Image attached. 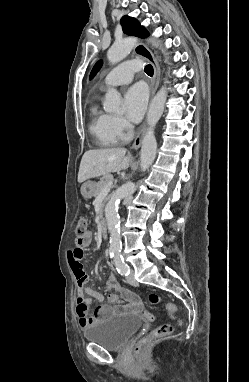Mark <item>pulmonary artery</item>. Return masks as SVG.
I'll list each match as a JSON object with an SVG mask.
<instances>
[{
    "instance_id": "pulmonary-artery-1",
    "label": "pulmonary artery",
    "mask_w": 249,
    "mask_h": 382,
    "mask_svg": "<svg viewBox=\"0 0 249 382\" xmlns=\"http://www.w3.org/2000/svg\"><path fill=\"white\" fill-rule=\"evenodd\" d=\"M140 69L141 61L137 59L119 64L105 76L103 88L130 83L134 73Z\"/></svg>"
}]
</instances>
